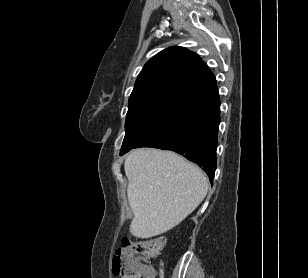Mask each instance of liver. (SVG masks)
I'll use <instances>...</instances> for the list:
<instances>
[{
	"mask_svg": "<svg viewBox=\"0 0 308 278\" xmlns=\"http://www.w3.org/2000/svg\"><path fill=\"white\" fill-rule=\"evenodd\" d=\"M133 211L130 233L150 238L172 229L205 198L208 179L182 156L154 148L132 150L124 162Z\"/></svg>",
	"mask_w": 308,
	"mask_h": 278,
	"instance_id": "1",
	"label": "liver"
}]
</instances>
